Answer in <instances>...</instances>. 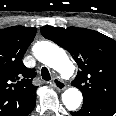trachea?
<instances>
[{
    "instance_id": "obj_1",
    "label": "trachea",
    "mask_w": 116,
    "mask_h": 116,
    "mask_svg": "<svg viewBox=\"0 0 116 116\" xmlns=\"http://www.w3.org/2000/svg\"><path fill=\"white\" fill-rule=\"evenodd\" d=\"M41 76H42V79L45 81H49L51 79L50 73L46 67H43L41 69Z\"/></svg>"
}]
</instances>
